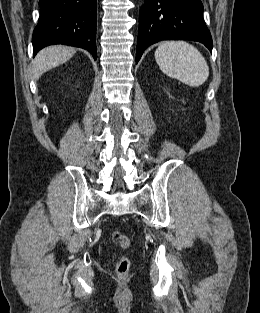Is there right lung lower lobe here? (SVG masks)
I'll use <instances>...</instances> for the list:
<instances>
[{
    "label": "right lung lower lobe",
    "instance_id": "right-lung-lower-lobe-1",
    "mask_svg": "<svg viewBox=\"0 0 260 313\" xmlns=\"http://www.w3.org/2000/svg\"><path fill=\"white\" fill-rule=\"evenodd\" d=\"M39 6L34 55L45 46L65 44L88 50L96 60V0H40Z\"/></svg>",
    "mask_w": 260,
    "mask_h": 313
}]
</instances>
